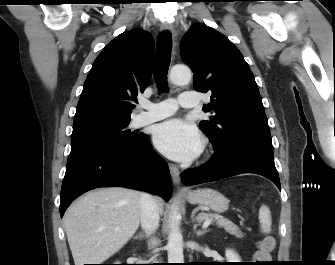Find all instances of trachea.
Instances as JSON below:
<instances>
[{"label":"trachea","instance_id":"obj_1","mask_svg":"<svg viewBox=\"0 0 335 265\" xmlns=\"http://www.w3.org/2000/svg\"><path fill=\"white\" fill-rule=\"evenodd\" d=\"M172 37L170 32L164 31L159 35L155 58L153 61V74L160 91L167 90V73L171 61Z\"/></svg>","mask_w":335,"mask_h":265}]
</instances>
